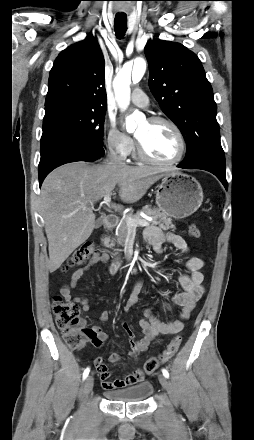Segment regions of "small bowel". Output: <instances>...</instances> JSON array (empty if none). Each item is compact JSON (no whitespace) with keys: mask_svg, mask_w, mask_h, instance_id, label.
<instances>
[{"mask_svg":"<svg viewBox=\"0 0 254 440\" xmlns=\"http://www.w3.org/2000/svg\"><path fill=\"white\" fill-rule=\"evenodd\" d=\"M144 240L148 246L158 253L161 252L162 244L165 242L171 243L182 253H187L189 251L186 241L181 236L173 233L163 232L155 226H150L145 229ZM108 259L109 256L105 253L96 254L93 256L85 266L77 269L72 274L70 283L61 288V295L67 300H72L82 311H88L90 309L88 299L81 295L73 296L72 291L85 273L89 272L99 264L106 263ZM184 266L186 272L178 277V282L182 290L175 293L172 297V303L180 307L177 318L162 321L150 309H144L143 317L139 320V326L143 334L140 339L135 338L134 332L127 324L123 325V329L129 337L131 349L130 356L133 358H139L140 355L148 349L151 341L155 337L180 332L184 327L185 321L189 320L196 303L202 297L205 290L203 285L204 276L201 272V269L204 266V261L199 257L193 256L185 261ZM141 287V281H137L134 284L125 305V309L128 310L137 305ZM161 306L167 311L171 310L172 308V305L169 303H162ZM108 319L109 312L106 310L102 311L99 315V320L107 321ZM92 329L94 336L91 337L89 341L92 345L99 348L108 339V334L99 325L94 326ZM120 360L121 357L117 353L110 354L107 359L98 357L95 360V365L98 370L102 386L105 389L124 388L144 381V373L140 369L133 371L124 378L110 381L111 373L106 365V361L109 363H118Z\"/></svg>","mask_w":254,"mask_h":440,"instance_id":"small-bowel-1","label":"small bowel"}]
</instances>
